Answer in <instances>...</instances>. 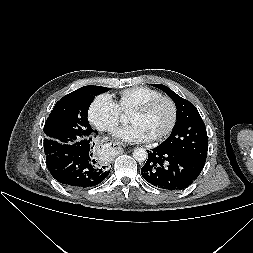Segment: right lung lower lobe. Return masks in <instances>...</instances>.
I'll list each match as a JSON object with an SVG mask.
<instances>
[{
    "instance_id": "right-lung-lower-lobe-1",
    "label": "right lung lower lobe",
    "mask_w": 253,
    "mask_h": 253,
    "mask_svg": "<svg viewBox=\"0 0 253 253\" xmlns=\"http://www.w3.org/2000/svg\"><path fill=\"white\" fill-rule=\"evenodd\" d=\"M72 144H61L58 148L48 150L46 164L51 175L61 184L72 188H88L101 183L110 170L99 159L94 138Z\"/></svg>"
}]
</instances>
